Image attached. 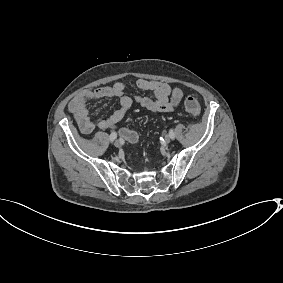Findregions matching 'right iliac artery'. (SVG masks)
Returning a JSON list of instances; mask_svg holds the SVG:
<instances>
[{"label":"right iliac artery","instance_id":"obj_1","mask_svg":"<svg viewBox=\"0 0 283 283\" xmlns=\"http://www.w3.org/2000/svg\"><path fill=\"white\" fill-rule=\"evenodd\" d=\"M116 138H117V133L116 132H112L110 134V137H109L110 141L113 142Z\"/></svg>","mask_w":283,"mask_h":283}]
</instances>
